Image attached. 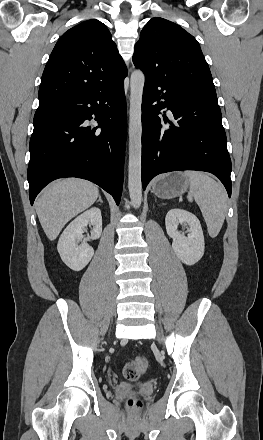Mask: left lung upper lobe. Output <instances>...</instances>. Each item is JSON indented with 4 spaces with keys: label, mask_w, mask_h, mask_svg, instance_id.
Masks as SVG:
<instances>
[{
    "label": "left lung upper lobe",
    "mask_w": 263,
    "mask_h": 440,
    "mask_svg": "<svg viewBox=\"0 0 263 440\" xmlns=\"http://www.w3.org/2000/svg\"><path fill=\"white\" fill-rule=\"evenodd\" d=\"M133 63L148 78L173 81L189 92L217 97L199 43L171 21L155 17L144 26Z\"/></svg>",
    "instance_id": "5c2ea615"
}]
</instances>
